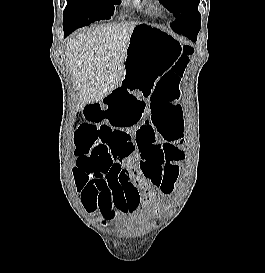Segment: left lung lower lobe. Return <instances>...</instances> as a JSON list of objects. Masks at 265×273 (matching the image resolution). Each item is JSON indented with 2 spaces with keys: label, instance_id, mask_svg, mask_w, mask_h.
<instances>
[{
  "label": "left lung lower lobe",
  "instance_id": "0a47b994",
  "mask_svg": "<svg viewBox=\"0 0 265 273\" xmlns=\"http://www.w3.org/2000/svg\"><path fill=\"white\" fill-rule=\"evenodd\" d=\"M200 17L192 16L184 19L180 24L171 26L173 31L196 41L197 34L200 30Z\"/></svg>",
  "mask_w": 265,
  "mask_h": 273
}]
</instances>
